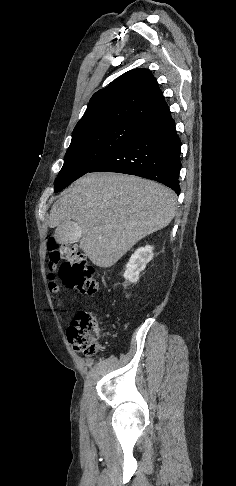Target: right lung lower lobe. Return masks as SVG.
Here are the masks:
<instances>
[{
  "mask_svg": "<svg viewBox=\"0 0 236 486\" xmlns=\"http://www.w3.org/2000/svg\"><path fill=\"white\" fill-rule=\"evenodd\" d=\"M181 141L169 108L145 117L136 134L89 172H118L148 178L178 195Z\"/></svg>",
  "mask_w": 236,
  "mask_h": 486,
  "instance_id": "right-lung-lower-lobe-1",
  "label": "right lung lower lobe"
}]
</instances>
